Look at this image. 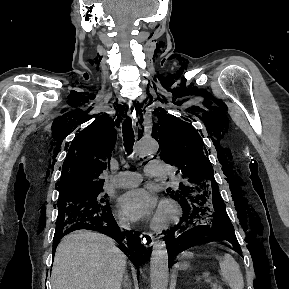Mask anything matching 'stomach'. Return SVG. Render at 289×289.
Returning a JSON list of instances; mask_svg holds the SVG:
<instances>
[{
  "instance_id": "1",
  "label": "stomach",
  "mask_w": 289,
  "mask_h": 289,
  "mask_svg": "<svg viewBox=\"0 0 289 289\" xmlns=\"http://www.w3.org/2000/svg\"><path fill=\"white\" fill-rule=\"evenodd\" d=\"M188 266H189V264H188L187 262H184V263H182V264L180 265V268H181V269H187Z\"/></svg>"
}]
</instances>
